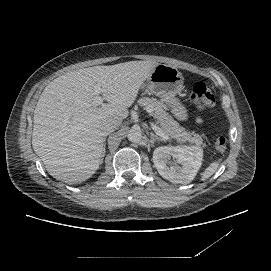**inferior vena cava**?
Returning <instances> with one entry per match:
<instances>
[{"mask_svg": "<svg viewBox=\"0 0 271 271\" xmlns=\"http://www.w3.org/2000/svg\"><path fill=\"white\" fill-rule=\"evenodd\" d=\"M120 123H121L120 121L111 120V121H108L107 123L103 124L101 127L102 134L107 135L111 131L116 130L119 127Z\"/></svg>", "mask_w": 271, "mask_h": 271, "instance_id": "1", "label": "inferior vena cava"}]
</instances>
